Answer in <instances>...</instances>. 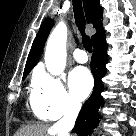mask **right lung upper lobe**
Segmentation results:
<instances>
[{"label":"right lung upper lobe","mask_w":136,"mask_h":136,"mask_svg":"<svg viewBox=\"0 0 136 136\" xmlns=\"http://www.w3.org/2000/svg\"><path fill=\"white\" fill-rule=\"evenodd\" d=\"M83 4L87 22L93 24V27L96 28V33L92 36V42L94 44L100 38L105 37L101 23L103 9L99 4V0H83ZM52 25V19H46L42 23L29 53L24 74H28L38 62Z\"/></svg>","instance_id":"right-lung-upper-lobe-1"}]
</instances>
